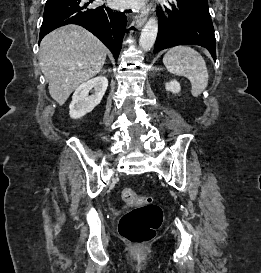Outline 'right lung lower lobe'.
I'll return each instance as SVG.
<instances>
[{
    "instance_id": "98d812e1",
    "label": "right lung lower lobe",
    "mask_w": 261,
    "mask_h": 273,
    "mask_svg": "<svg viewBox=\"0 0 261 273\" xmlns=\"http://www.w3.org/2000/svg\"><path fill=\"white\" fill-rule=\"evenodd\" d=\"M93 1L95 0H47L39 40L54 29L73 23L97 36L117 59L127 31L126 16L105 5L94 6Z\"/></svg>"
}]
</instances>
